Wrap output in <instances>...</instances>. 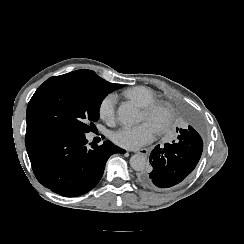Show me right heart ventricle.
I'll use <instances>...</instances> for the list:
<instances>
[{
	"instance_id": "1",
	"label": "right heart ventricle",
	"mask_w": 244,
	"mask_h": 244,
	"mask_svg": "<svg viewBox=\"0 0 244 244\" xmlns=\"http://www.w3.org/2000/svg\"><path fill=\"white\" fill-rule=\"evenodd\" d=\"M122 95L137 102L142 107L156 103V98L152 90L144 86L126 89Z\"/></svg>"
}]
</instances>
